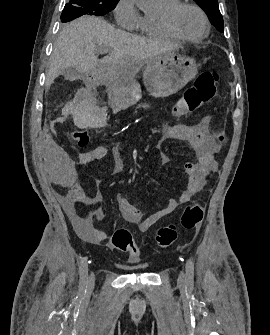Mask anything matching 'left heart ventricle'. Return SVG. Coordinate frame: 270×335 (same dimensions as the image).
I'll list each match as a JSON object with an SVG mask.
<instances>
[{
  "label": "left heart ventricle",
  "mask_w": 270,
  "mask_h": 335,
  "mask_svg": "<svg viewBox=\"0 0 270 335\" xmlns=\"http://www.w3.org/2000/svg\"><path fill=\"white\" fill-rule=\"evenodd\" d=\"M176 26L189 36L199 35L204 31L199 13L190 6H183L176 15Z\"/></svg>",
  "instance_id": "obj_1"
}]
</instances>
